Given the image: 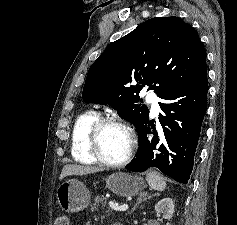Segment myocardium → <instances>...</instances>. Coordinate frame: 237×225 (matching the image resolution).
<instances>
[{"instance_id":"f54148a6","label":"myocardium","mask_w":237,"mask_h":225,"mask_svg":"<svg viewBox=\"0 0 237 225\" xmlns=\"http://www.w3.org/2000/svg\"><path fill=\"white\" fill-rule=\"evenodd\" d=\"M118 126L126 131L129 136L130 146L126 156L117 162L107 160L100 149V134L101 131L107 126ZM137 147V137L133 128L126 122L113 117L99 118L90 128L88 133V149L92 157L100 164L111 167L120 168L126 166L134 156Z\"/></svg>"}]
</instances>
